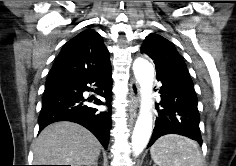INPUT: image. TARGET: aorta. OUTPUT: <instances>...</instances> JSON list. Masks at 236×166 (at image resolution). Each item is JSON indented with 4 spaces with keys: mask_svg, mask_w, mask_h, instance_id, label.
Wrapping results in <instances>:
<instances>
[{
    "mask_svg": "<svg viewBox=\"0 0 236 166\" xmlns=\"http://www.w3.org/2000/svg\"><path fill=\"white\" fill-rule=\"evenodd\" d=\"M133 71L140 85L141 108L132 134V150L140 154L148 144L152 133V84L154 79L153 65L146 59L137 58Z\"/></svg>",
    "mask_w": 236,
    "mask_h": 166,
    "instance_id": "aorta-1",
    "label": "aorta"
}]
</instances>
